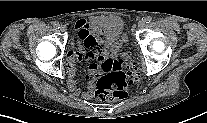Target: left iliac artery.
Here are the masks:
<instances>
[{
	"mask_svg": "<svg viewBox=\"0 0 207 123\" xmlns=\"http://www.w3.org/2000/svg\"><path fill=\"white\" fill-rule=\"evenodd\" d=\"M152 21V17L151 16H147L146 18H145V22L146 23H150Z\"/></svg>",
	"mask_w": 207,
	"mask_h": 123,
	"instance_id": "1",
	"label": "left iliac artery"
}]
</instances>
